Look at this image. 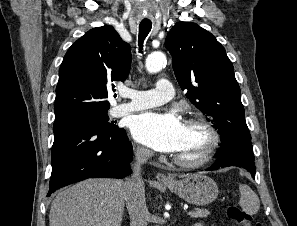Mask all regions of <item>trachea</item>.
I'll return each instance as SVG.
<instances>
[{"label":"trachea","mask_w":297,"mask_h":226,"mask_svg":"<svg viewBox=\"0 0 297 226\" xmlns=\"http://www.w3.org/2000/svg\"><path fill=\"white\" fill-rule=\"evenodd\" d=\"M152 23L150 21H142L139 25V47L140 50L143 48V42L149 32L151 31Z\"/></svg>","instance_id":"3493384b"}]
</instances>
